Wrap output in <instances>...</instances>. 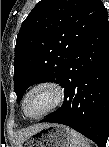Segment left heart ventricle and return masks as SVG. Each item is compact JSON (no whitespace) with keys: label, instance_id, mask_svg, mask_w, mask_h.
I'll use <instances>...</instances> for the list:
<instances>
[{"label":"left heart ventricle","instance_id":"b2bd125f","mask_svg":"<svg viewBox=\"0 0 109 147\" xmlns=\"http://www.w3.org/2000/svg\"><path fill=\"white\" fill-rule=\"evenodd\" d=\"M54 93L49 89H40L33 92L27 99V110L32 115L43 112L53 101Z\"/></svg>","mask_w":109,"mask_h":147}]
</instances>
